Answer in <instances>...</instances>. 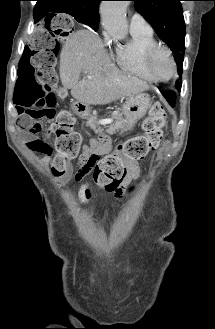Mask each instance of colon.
Instances as JSON below:
<instances>
[{"instance_id": "obj_1", "label": "colon", "mask_w": 215, "mask_h": 329, "mask_svg": "<svg viewBox=\"0 0 215 329\" xmlns=\"http://www.w3.org/2000/svg\"><path fill=\"white\" fill-rule=\"evenodd\" d=\"M41 24L33 25V31H30L32 39L24 55H15L14 58L15 62H22V66H16V73L34 74H19V81H15L12 91L17 93L14 102L17 103L18 112L28 123L21 125L23 131L39 135L41 126L32 121L42 118L53 121L56 154L51 169L55 176L61 177L66 174L70 161L79 154L81 136L72 129V113L56 108L53 89L57 81H60V74L55 73L54 64L59 49H62L61 41L71 38V32H79V25H73L70 14H44ZM166 117L164 106L161 103L153 104L143 122L142 135L125 141L114 153L105 157L97 154L83 157L75 178L81 179L91 174L98 186L109 191L119 189L126 178L124 160L143 159L149 151L160 145ZM32 146L46 152L52 149L51 145L39 136L32 142ZM88 196L89 190L87 186H83L81 197L87 200Z\"/></svg>"}]
</instances>
